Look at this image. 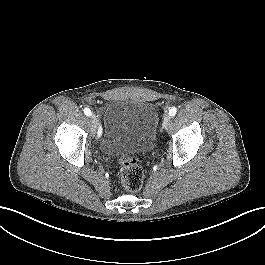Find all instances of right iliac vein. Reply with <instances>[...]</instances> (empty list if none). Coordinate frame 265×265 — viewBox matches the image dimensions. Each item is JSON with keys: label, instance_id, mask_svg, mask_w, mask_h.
<instances>
[{"label": "right iliac vein", "instance_id": "right-iliac-vein-1", "mask_svg": "<svg viewBox=\"0 0 265 265\" xmlns=\"http://www.w3.org/2000/svg\"><path fill=\"white\" fill-rule=\"evenodd\" d=\"M97 127H98V120L96 118V116H92V132L96 133L97 131Z\"/></svg>", "mask_w": 265, "mask_h": 265}]
</instances>
